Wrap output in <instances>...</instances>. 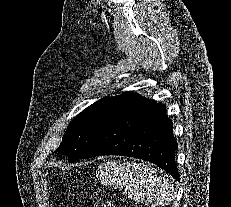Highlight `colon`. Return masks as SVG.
<instances>
[{"instance_id": "colon-1", "label": "colon", "mask_w": 231, "mask_h": 207, "mask_svg": "<svg viewBox=\"0 0 231 207\" xmlns=\"http://www.w3.org/2000/svg\"><path fill=\"white\" fill-rule=\"evenodd\" d=\"M87 207V206H84ZM100 207H117L116 204L112 201H107L105 203H103Z\"/></svg>"}]
</instances>
